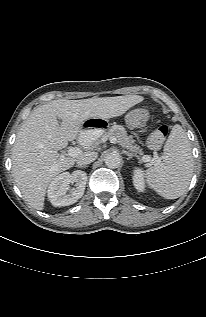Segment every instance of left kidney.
Here are the masks:
<instances>
[{
  "label": "left kidney",
  "mask_w": 206,
  "mask_h": 317,
  "mask_svg": "<svg viewBox=\"0 0 206 317\" xmlns=\"http://www.w3.org/2000/svg\"><path fill=\"white\" fill-rule=\"evenodd\" d=\"M133 184L139 192L144 191L145 183H144L143 171L139 168L134 170Z\"/></svg>",
  "instance_id": "obj_1"
}]
</instances>
